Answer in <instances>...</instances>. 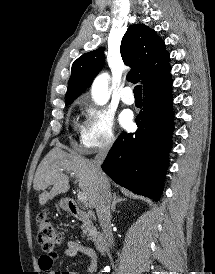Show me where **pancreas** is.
I'll list each match as a JSON object with an SVG mask.
<instances>
[{
    "mask_svg": "<svg viewBox=\"0 0 215 274\" xmlns=\"http://www.w3.org/2000/svg\"><path fill=\"white\" fill-rule=\"evenodd\" d=\"M82 230L85 235H88L90 240H95L96 233H95V228L93 227L92 223L87 222V221L83 222Z\"/></svg>",
    "mask_w": 215,
    "mask_h": 274,
    "instance_id": "cf45deb5",
    "label": "pancreas"
}]
</instances>
